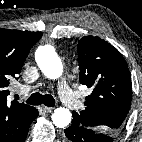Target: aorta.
I'll return each mask as SVG.
<instances>
[{"label":"aorta","instance_id":"obj_1","mask_svg":"<svg viewBox=\"0 0 142 142\" xmlns=\"http://www.w3.org/2000/svg\"><path fill=\"white\" fill-rule=\"evenodd\" d=\"M36 62L49 79H57L63 73V64L60 57L51 45L40 46L35 54ZM71 112L69 109L59 107L52 113L53 124L58 128H64L71 122Z\"/></svg>","mask_w":142,"mask_h":142}]
</instances>
